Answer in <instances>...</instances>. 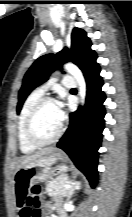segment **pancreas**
Segmentation results:
<instances>
[{"label":"pancreas","mask_w":132,"mask_h":217,"mask_svg":"<svg viewBox=\"0 0 132 217\" xmlns=\"http://www.w3.org/2000/svg\"><path fill=\"white\" fill-rule=\"evenodd\" d=\"M69 183H70V179L68 175L62 174L47 183L46 193L51 197L67 196L70 189H66L65 186Z\"/></svg>","instance_id":"obj_1"}]
</instances>
